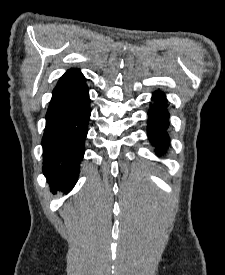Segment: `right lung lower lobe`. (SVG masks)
<instances>
[{"instance_id": "98d812e1", "label": "right lung lower lobe", "mask_w": 225, "mask_h": 275, "mask_svg": "<svg viewBox=\"0 0 225 275\" xmlns=\"http://www.w3.org/2000/svg\"><path fill=\"white\" fill-rule=\"evenodd\" d=\"M90 113L85 79L55 87L42 139L43 173L53 189L69 191L78 180Z\"/></svg>"}]
</instances>
